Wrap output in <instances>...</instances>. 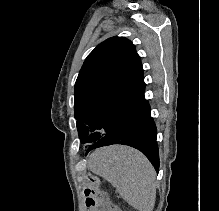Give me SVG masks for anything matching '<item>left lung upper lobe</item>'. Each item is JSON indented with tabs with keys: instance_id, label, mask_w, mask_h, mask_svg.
Returning a JSON list of instances; mask_svg holds the SVG:
<instances>
[{
	"instance_id": "5c2ea615",
	"label": "left lung upper lobe",
	"mask_w": 219,
	"mask_h": 211,
	"mask_svg": "<svg viewBox=\"0 0 219 211\" xmlns=\"http://www.w3.org/2000/svg\"><path fill=\"white\" fill-rule=\"evenodd\" d=\"M145 86L140 56L130 40L116 36L100 43L87 56L75 83L81 142L109 134Z\"/></svg>"
}]
</instances>
